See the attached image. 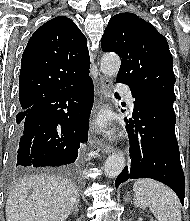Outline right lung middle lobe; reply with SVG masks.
Returning <instances> with one entry per match:
<instances>
[{
    "label": "right lung middle lobe",
    "mask_w": 190,
    "mask_h": 221,
    "mask_svg": "<svg viewBox=\"0 0 190 221\" xmlns=\"http://www.w3.org/2000/svg\"><path fill=\"white\" fill-rule=\"evenodd\" d=\"M22 120H23V117L21 116V114H18V115L16 116V122H17V124H20V123L22 122Z\"/></svg>",
    "instance_id": "dd1d6c3e"
}]
</instances>
